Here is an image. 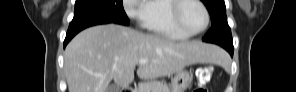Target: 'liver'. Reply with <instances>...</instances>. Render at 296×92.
Wrapping results in <instances>:
<instances>
[{
    "label": "liver",
    "instance_id": "1",
    "mask_svg": "<svg viewBox=\"0 0 296 92\" xmlns=\"http://www.w3.org/2000/svg\"><path fill=\"white\" fill-rule=\"evenodd\" d=\"M221 51L199 41L175 42L161 35L107 24L90 27L67 45L64 71L69 92H107L134 80L172 75L195 63H218ZM147 59L146 64L138 60Z\"/></svg>",
    "mask_w": 296,
    "mask_h": 92
}]
</instances>
